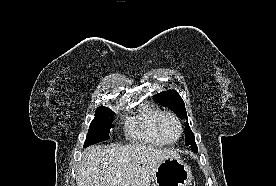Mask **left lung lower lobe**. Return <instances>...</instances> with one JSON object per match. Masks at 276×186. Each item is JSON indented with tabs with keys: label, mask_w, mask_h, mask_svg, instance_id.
<instances>
[{
	"label": "left lung lower lobe",
	"mask_w": 276,
	"mask_h": 186,
	"mask_svg": "<svg viewBox=\"0 0 276 186\" xmlns=\"http://www.w3.org/2000/svg\"><path fill=\"white\" fill-rule=\"evenodd\" d=\"M194 152H198V148H194L192 149Z\"/></svg>",
	"instance_id": "obj_1"
}]
</instances>
